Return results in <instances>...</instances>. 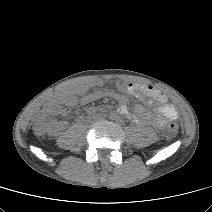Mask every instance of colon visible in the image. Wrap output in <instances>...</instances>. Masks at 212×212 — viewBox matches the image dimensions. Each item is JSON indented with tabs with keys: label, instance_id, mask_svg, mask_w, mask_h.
I'll return each mask as SVG.
<instances>
[{
	"label": "colon",
	"instance_id": "colon-1",
	"mask_svg": "<svg viewBox=\"0 0 212 212\" xmlns=\"http://www.w3.org/2000/svg\"><path fill=\"white\" fill-rule=\"evenodd\" d=\"M50 130H52V126L50 127L48 124H46L44 121H37L33 125V131L38 136H43L47 134ZM178 131V125L176 123H170L168 125V132L171 135L176 134Z\"/></svg>",
	"mask_w": 212,
	"mask_h": 212
}]
</instances>
